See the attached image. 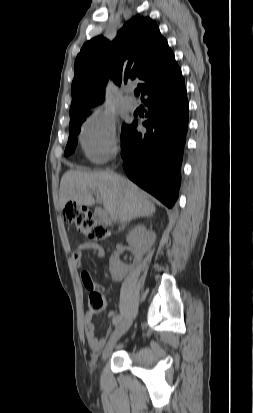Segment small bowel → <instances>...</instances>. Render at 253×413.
Listing matches in <instances>:
<instances>
[{
  "label": "small bowel",
  "mask_w": 253,
  "mask_h": 413,
  "mask_svg": "<svg viewBox=\"0 0 253 413\" xmlns=\"http://www.w3.org/2000/svg\"><path fill=\"white\" fill-rule=\"evenodd\" d=\"M84 251H92L94 256L98 259H104L106 256L105 250L100 245L92 242H83L77 246L72 255L73 262L79 268H82L83 266L82 256ZM81 278L85 287H88L89 285L94 283L90 273L86 270H82ZM116 317L117 316L115 315V313H110V320L113 324H115ZM84 331L90 349L93 352H99L105 346L107 339H99L96 337L95 325L93 323V315L91 312H87L85 315Z\"/></svg>",
  "instance_id": "small-bowel-1"
}]
</instances>
